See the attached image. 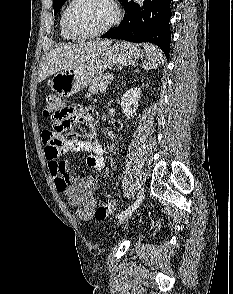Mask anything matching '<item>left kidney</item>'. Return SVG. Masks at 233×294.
Here are the masks:
<instances>
[{"instance_id": "1", "label": "left kidney", "mask_w": 233, "mask_h": 294, "mask_svg": "<svg viewBox=\"0 0 233 294\" xmlns=\"http://www.w3.org/2000/svg\"><path fill=\"white\" fill-rule=\"evenodd\" d=\"M140 95L141 90L139 88H131L123 94L120 105L127 120L136 113L139 106ZM114 146L113 144L111 148H114Z\"/></svg>"}]
</instances>
